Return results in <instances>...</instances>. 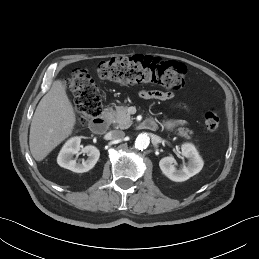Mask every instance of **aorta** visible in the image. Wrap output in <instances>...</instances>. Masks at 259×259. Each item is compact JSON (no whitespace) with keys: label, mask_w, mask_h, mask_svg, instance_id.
<instances>
[{"label":"aorta","mask_w":259,"mask_h":259,"mask_svg":"<svg viewBox=\"0 0 259 259\" xmlns=\"http://www.w3.org/2000/svg\"><path fill=\"white\" fill-rule=\"evenodd\" d=\"M149 143H150V139H149L148 135L145 134V133L144 134H140L136 138L135 147L137 149H139V150H143V149L147 148Z\"/></svg>","instance_id":"1"}]
</instances>
